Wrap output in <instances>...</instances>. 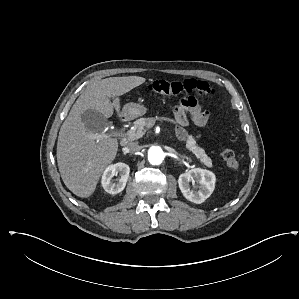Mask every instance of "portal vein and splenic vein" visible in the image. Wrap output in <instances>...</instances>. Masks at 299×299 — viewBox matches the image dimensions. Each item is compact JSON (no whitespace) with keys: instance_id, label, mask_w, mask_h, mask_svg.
<instances>
[{"instance_id":"portal-vein-and-splenic-vein-1","label":"portal vein and splenic vein","mask_w":299,"mask_h":299,"mask_svg":"<svg viewBox=\"0 0 299 299\" xmlns=\"http://www.w3.org/2000/svg\"><path fill=\"white\" fill-rule=\"evenodd\" d=\"M111 136H120V137H122V136H124V134L113 132V133H111ZM90 137H92L93 139H96L97 141H99V140H102V139L107 138L109 136L107 134H104V133H94V134H91Z\"/></svg>"}]
</instances>
